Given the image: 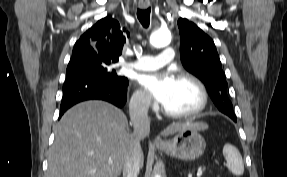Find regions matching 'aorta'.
Returning <instances> with one entry per match:
<instances>
[{"mask_svg":"<svg viewBox=\"0 0 287 177\" xmlns=\"http://www.w3.org/2000/svg\"><path fill=\"white\" fill-rule=\"evenodd\" d=\"M171 42V33L168 30H157L150 35V44L156 48L169 45ZM155 177H161L156 174Z\"/></svg>","mask_w":287,"mask_h":177,"instance_id":"762f6f07","label":"aorta"}]
</instances>
